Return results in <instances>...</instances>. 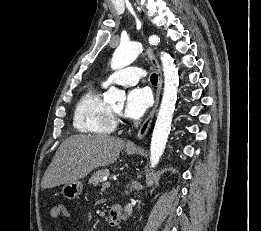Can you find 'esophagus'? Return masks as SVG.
I'll return each instance as SVG.
<instances>
[{
  "label": "esophagus",
  "mask_w": 261,
  "mask_h": 231,
  "mask_svg": "<svg viewBox=\"0 0 261 231\" xmlns=\"http://www.w3.org/2000/svg\"><path fill=\"white\" fill-rule=\"evenodd\" d=\"M147 55L153 65V67L157 70L158 73V87H157V91H156V95H155V103H154V107L152 108L150 114L148 115V117L145 119V121L143 122V124L141 125L140 129L138 130L137 133V140H141L147 133L153 116L155 114V111L157 109V106L159 104V99H160V93H161V89H162V70H161V66L158 62V60L156 59L152 49L150 47L147 48ZM128 148H136L137 145L135 142H129L127 144Z\"/></svg>",
  "instance_id": "esophagus-1"
}]
</instances>
